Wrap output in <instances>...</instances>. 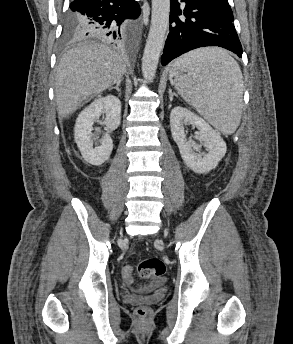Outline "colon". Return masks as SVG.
I'll list each match as a JSON object with an SVG mask.
<instances>
[{
	"instance_id": "colon-1",
	"label": "colon",
	"mask_w": 293,
	"mask_h": 344,
	"mask_svg": "<svg viewBox=\"0 0 293 344\" xmlns=\"http://www.w3.org/2000/svg\"><path fill=\"white\" fill-rule=\"evenodd\" d=\"M137 274L144 279H158L164 276L166 272L165 263L156 257L148 258L141 261L136 267ZM133 268L131 266H125L122 270L123 277L125 279L132 280ZM149 310L145 306H140L136 309V315L140 319L147 317Z\"/></svg>"
}]
</instances>
